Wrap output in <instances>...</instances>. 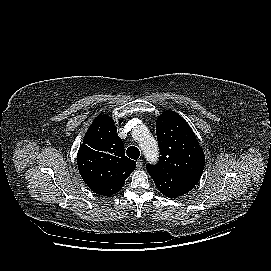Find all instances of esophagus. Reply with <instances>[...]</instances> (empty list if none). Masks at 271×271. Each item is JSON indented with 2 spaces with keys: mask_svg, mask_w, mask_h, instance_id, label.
Returning a JSON list of instances; mask_svg holds the SVG:
<instances>
[{
  "mask_svg": "<svg viewBox=\"0 0 271 271\" xmlns=\"http://www.w3.org/2000/svg\"><path fill=\"white\" fill-rule=\"evenodd\" d=\"M136 165H137V168H138V169H141L142 166H143V161H142V159H138L137 162H136Z\"/></svg>",
  "mask_w": 271,
  "mask_h": 271,
  "instance_id": "obj_1",
  "label": "esophagus"
}]
</instances>
